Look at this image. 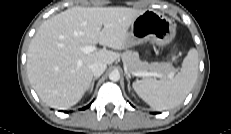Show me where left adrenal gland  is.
<instances>
[{
	"instance_id": "1",
	"label": "left adrenal gland",
	"mask_w": 231,
	"mask_h": 134,
	"mask_svg": "<svg viewBox=\"0 0 231 134\" xmlns=\"http://www.w3.org/2000/svg\"><path fill=\"white\" fill-rule=\"evenodd\" d=\"M126 79H127V82H128V91H130L131 88H130V78H129V76L126 75Z\"/></svg>"
}]
</instances>
